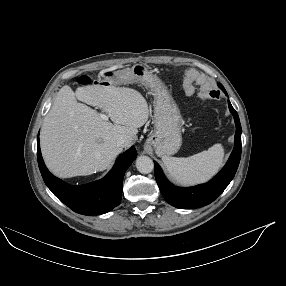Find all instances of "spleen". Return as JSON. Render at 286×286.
<instances>
[{
  "label": "spleen",
  "mask_w": 286,
  "mask_h": 286,
  "mask_svg": "<svg viewBox=\"0 0 286 286\" xmlns=\"http://www.w3.org/2000/svg\"><path fill=\"white\" fill-rule=\"evenodd\" d=\"M223 157V146L215 144L187 158L163 156L162 161L173 180L183 185H193L214 176L223 164Z\"/></svg>",
  "instance_id": "1"
}]
</instances>
